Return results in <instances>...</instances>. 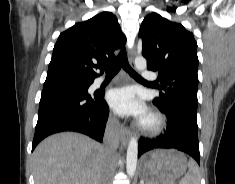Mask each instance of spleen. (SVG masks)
Here are the masks:
<instances>
[{"instance_id":"1","label":"spleen","mask_w":235,"mask_h":184,"mask_svg":"<svg viewBox=\"0 0 235 184\" xmlns=\"http://www.w3.org/2000/svg\"><path fill=\"white\" fill-rule=\"evenodd\" d=\"M179 184H200L199 168L194 160H189L188 172Z\"/></svg>"}]
</instances>
